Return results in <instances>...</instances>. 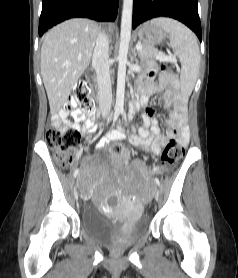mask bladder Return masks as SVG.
<instances>
[{"instance_id": "bladder-1", "label": "bladder", "mask_w": 238, "mask_h": 278, "mask_svg": "<svg viewBox=\"0 0 238 278\" xmlns=\"http://www.w3.org/2000/svg\"><path fill=\"white\" fill-rule=\"evenodd\" d=\"M81 223L86 234L112 247L133 242L146 232L148 224L145 217L134 221L111 218L91 204L84 207Z\"/></svg>"}]
</instances>
